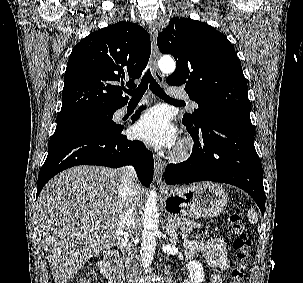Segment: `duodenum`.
<instances>
[{
	"instance_id": "obj_1",
	"label": "duodenum",
	"mask_w": 303,
	"mask_h": 283,
	"mask_svg": "<svg viewBox=\"0 0 303 283\" xmlns=\"http://www.w3.org/2000/svg\"><path fill=\"white\" fill-rule=\"evenodd\" d=\"M102 272L108 277L110 283L124 282V269L120 257L114 251L106 254L102 264Z\"/></svg>"
}]
</instances>
